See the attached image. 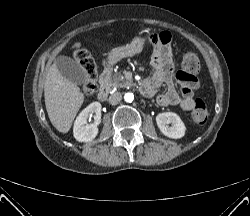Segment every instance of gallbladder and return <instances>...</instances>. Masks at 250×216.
<instances>
[{
    "label": "gallbladder",
    "instance_id": "bac80fb5",
    "mask_svg": "<svg viewBox=\"0 0 250 216\" xmlns=\"http://www.w3.org/2000/svg\"><path fill=\"white\" fill-rule=\"evenodd\" d=\"M59 72L69 81L75 84H85L87 73L84 68L67 56H60L56 59Z\"/></svg>",
    "mask_w": 250,
    "mask_h": 216
}]
</instances>
